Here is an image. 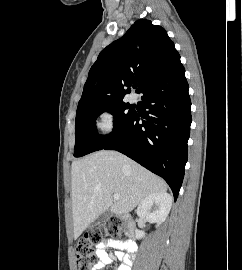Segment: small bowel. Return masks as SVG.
Returning a JSON list of instances; mask_svg holds the SVG:
<instances>
[{
    "mask_svg": "<svg viewBox=\"0 0 242 270\" xmlns=\"http://www.w3.org/2000/svg\"><path fill=\"white\" fill-rule=\"evenodd\" d=\"M107 248L115 249V256L121 261L115 270H131L133 264V254L136 252V244L132 241L105 240L98 244L96 249V262L93 270H103L106 265L112 264L113 260ZM127 251L128 253H125Z\"/></svg>",
    "mask_w": 242,
    "mask_h": 270,
    "instance_id": "1",
    "label": "small bowel"
}]
</instances>
